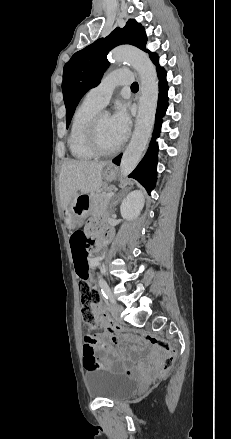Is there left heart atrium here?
<instances>
[{
    "instance_id": "1",
    "label": "left heart atrium",
    "mask_w": 231,
    "mask_h": 439,
    "mask_svg": "<svg viewBox=\"0 0 231 439\" xmlns=\"http://www.w3.org/2000/svg\"><path fill=\"white\" fill-rule=\"evenodd\" d=\"M111 126L119 144L127 138L131 120L124 105H119L111 116Z\"/></svg>"
}]
</instances>
